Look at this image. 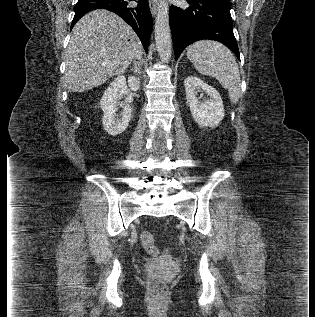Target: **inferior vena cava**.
Returning <instances> with one entry per match:
<instances>
[{"mask_svg":"<svg viewBox=\"0 0 315 317\" xmlns=\"http://www.w3.org/2000/svg\"><path fill=\"white\" fill-rule=\"evenodd\" d=\"M136 58H137L138 60H140V58H141V57H140V56H138V57H136Z\"/></svg>","mask_w":315,"mask_h":317,"instance_id":"1","label":"inferior vena cava"}]
</instances>
